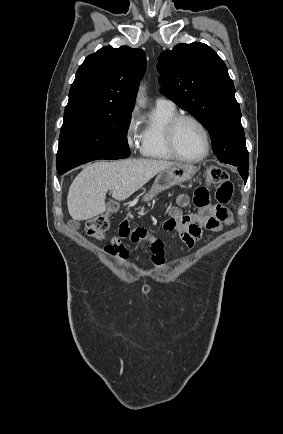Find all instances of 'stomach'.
<instances>
[{
  "label": "stomach",
  "mask_w": 283,
  "mask_h": 434,
  "mask_svg": "<svg viewBox=\"0 0 283 434\" xmlns=\"http://www.w3.org/2000/svg\"><path fill=\"white\" fill-rule=\"evenodd\" d=\"M197 172V167L191 164L176 163L175 165L158 173L155 181L143 197V201L149 202L157 194L171 188L174 185L190 180Z\"/></svg>",
  "instance_id": "stomach-1"
}]
</instances>
